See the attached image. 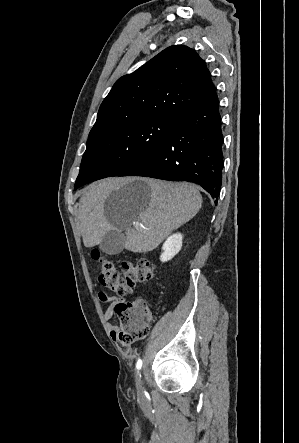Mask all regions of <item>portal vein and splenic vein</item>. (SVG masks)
Here are the masks:
<instances>
[{
    "instance_id": "portal-vein-and-splenic-vein-1",
    "label": "portal vein and splenic vein",
    "mask_w": 299,
    "mask_h": 443,
    "mask_svg": "<svg viewBox=\"0 0 299 443\" xmlns=\"http://www.w3.org/2000/svg\"><path fill=\"white\" fill-rule=\"evenodd\" d=\"M133 226L135 227V228H139L140 226H141V224L139 223V222H133Z\"/></svg>"
}]
</instances>
